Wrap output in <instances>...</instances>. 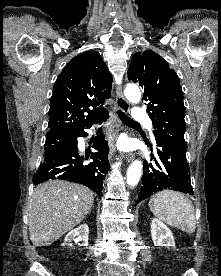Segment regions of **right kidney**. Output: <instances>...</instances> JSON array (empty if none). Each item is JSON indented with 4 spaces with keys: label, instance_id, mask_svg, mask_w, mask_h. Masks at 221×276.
Returning a JSON list of instances; mask_svg holds the SVG:
<instances>
[{
    "label": "right kidney",
    "instance_id": "ca27d5eb",
    "mask_svg": "<svg viewBox=\"0 0 221 276\" xmlns=\"http://www.w3.org/2000/svg\"><path fill=\"white\" fill-rule=\"evenodd\" d=\"M88 225L82 224L76 229L71 230L64 239V246H72L71 241L83 242L81 246H88ZM80 245V244H79Z\"/></svg>",
    "mask_w": 221,
    "mask_h": 276
}]
</instances>
